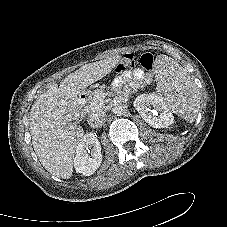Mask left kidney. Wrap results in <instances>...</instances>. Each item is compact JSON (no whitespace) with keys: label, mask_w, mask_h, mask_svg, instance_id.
<instances>
[{"label":"left kidney","mask_w":227,"mask_h":227,"mask_svg":"<svg viewBox=\"0 0 227 227\" xmlns=\"http://www.w3.org/2000/svg\"><path fill=\"white\" fill-rule=\"evenodd\" d=\"M139 115L153 128H167L174 122V117L166 103L157 94L139 95L134 101Z\"/></svg>","instance_id":"5707ae66"}]
</instances>
